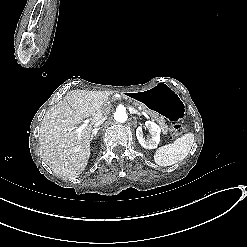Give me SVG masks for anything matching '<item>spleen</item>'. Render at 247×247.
<instances>
[{"instance_id": "1", "label": "spleen", "mask_w": 247, "mask_h": 247, "mask_svg": "<svg viewBox=\"0 0 247 247\" xmlns=\"http://www.w3.org/2000/svg\"><path fill=\"white\" fill-rule=\"evenodd\" d=\"M195 141L193 132L178 137L174 143L156 149L153 159L156 165L165 167L182 161L190 152Z\"/></svg>"}]
</instances>
